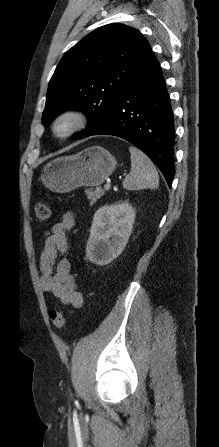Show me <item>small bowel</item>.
I'll return each instance as SVG.
<instances>
[{
	"instance_id": "c3829d8e",
	"label": "small bowel",
	"mask_w": 219,
	"mask_h": 447,
	"mask_svg": "<svg viewBox=\"0 0 219 447\" xmlns=\"http://www.w3.org/2000/svg\"><path fill=\"white\" fill-rule=\"evenodd\" d=\"M75 224L74 214L66 212L51 226L46 234L39 266L42 288L63 304L78 309L83 304V295L77 289V283L71 273V264L66 258L58 260L60 254L68 251L67 233L75 227Z\"/></svg>"
}]
</instances>
